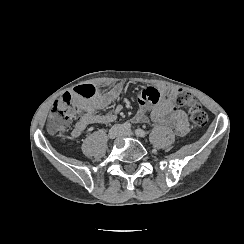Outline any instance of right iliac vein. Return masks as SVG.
<instances>
[{"label":"right iliac vein","instance_id":"right-iliac-vein-1","mask_svg":"<svg viewBox=\"0 0 244 244\" xmlns=\"http://www.w3.org/2000/svg\"><path fill=\"white\" fill-rule=\"evenodd\" d=\"M122 131V128L120 125H114L111 127V129L108 132V138L114 139L116 138Z\"/></svg>","mask_w":244,"mask_h":244}]
</instances>
